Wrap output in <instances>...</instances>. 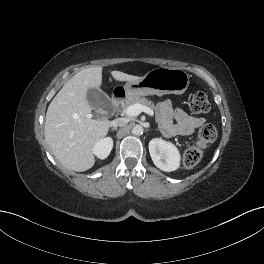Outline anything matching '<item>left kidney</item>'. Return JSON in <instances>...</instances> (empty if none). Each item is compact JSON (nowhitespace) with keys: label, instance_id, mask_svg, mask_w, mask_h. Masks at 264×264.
I'll return each instance as SVG.
<instances>
[{"label":"left kidney","instance_id":"obj_1","mask_svg":"<svg viewBox=\"0 0 264 264\" xmlns=\"http://www.w3.org/2000/svg\"><path fill=\"white\" fill-rule=\"evenodd\" d=\"M149 153L155 166L162 171H174L180 166L179 150L171 142L154 138L149 142Z\"/></svg>","mask_w":264,"mask_h":264}]
</instances>
